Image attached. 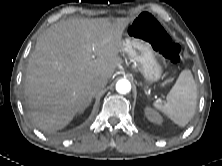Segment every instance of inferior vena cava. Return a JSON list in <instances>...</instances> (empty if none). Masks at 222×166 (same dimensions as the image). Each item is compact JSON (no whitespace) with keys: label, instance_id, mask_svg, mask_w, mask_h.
Listing matches in <instances>:
<instances>
[{"label":"inferior vena cava","instance_id":"obj_1","mask_svg":"<svg viewBox=\"0 0 222 166\" xmlns=\"http://www.w3.org/2000/svg\"><path fill=\"white\" fill-rule=\"evenodd\" d=\"M106 85H107V80L106 79L100 78V79L95 80L92 84L93 94L103 90Z\"/></svg>","mask_w":222,"mask_h":166}]
</instances>
